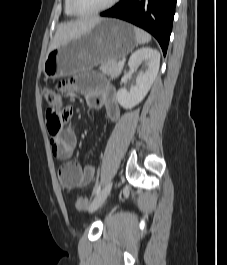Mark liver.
<instances>
[{
    "label": "liver",
    "mask_w": 227,
    "mask_h": 265,
    "mask_svg": "<svg viewBox=\"0 0 227 265\" xmlns=\"http://www.w3.org/2000/svg\"><path fill=\"white\" fill-rule=\"evenodd\" d=\"M101 20V18L80 19L60 24L52 42L50 43L48 53L54 48L90 32Z\"/></svg>",
    "instance_id": "1"
}]
</instances>
